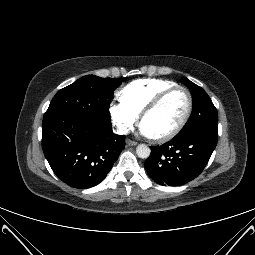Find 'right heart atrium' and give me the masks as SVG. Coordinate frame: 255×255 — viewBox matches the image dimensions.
<instances>
[{
  "instance_id": "obj_1",
  "label": "right heart atrium",
  "mask_w": 255,
  "mask_h": 255,
  "mask_svg": "<svg viewBox=\"0 0 255 255\" xmlns=\"http://www.w3.org/2000/svg\"><path fill=\"white\" fill-rule=\"evenodd\" d=\"M109 113L112 123L123 135L132 131L139 120V114L121 99L110 103Z\"/></svg>"
}]
</instances>
